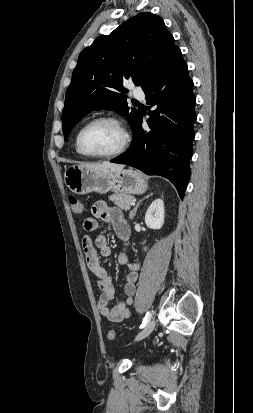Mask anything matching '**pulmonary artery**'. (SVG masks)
I'll return each mask as SVG.
<instances>
[{"instance_id": "pulmonary-artery-1", "label": "pulmonary artery", "mask_w": 253, "mask_h": 413, "mask_svg": "<svg viewBox=\"0 0 253 413\" xmlns=\"http://www.w3.org/2000/svg\"><path fill=\"white\" fill-rule=\"evenodd\" d=\"M133 95H134V97H136L138 99H144V97H145V94H144V92L141 88H135L133 90Z\"/></svg>"}]
</instances>
